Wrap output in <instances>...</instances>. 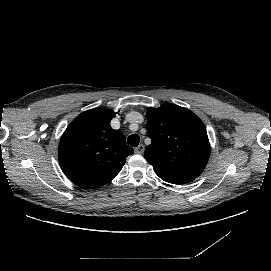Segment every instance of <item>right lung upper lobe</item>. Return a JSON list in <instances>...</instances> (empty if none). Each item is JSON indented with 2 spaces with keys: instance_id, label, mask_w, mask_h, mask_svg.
I'll return each instance as SVG.
<instances>
[{
  "instance_id": "obj_1",
  "label": "right lung upper lobe",
  "mask_w": 271,
  "mask_h": 271,
  "mask_svg": "<svg viewBox=\"0 0 271 271\" xmlns=\"http://www.w3.org/2000/svg\"><path fill=\"white\" fill-rule=\"evenodd\" d=\"M116 113L91 109L77 116L63 133L58 158L65 175L83 188L109 183L134 151L120 130L110 126Z\"/></svg>"
}]
</instances>
